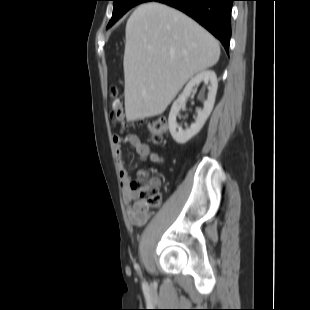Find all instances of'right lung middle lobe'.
<instances>
[{"mask_svg":"<svg viewBox=\"0 0 310 310\" xmlns=\"http://www.w3.org/2000/svg\"><path fill=\"white\" fill-rule=\"evenodd\" d=\"M113 1H114L113 15L107 28L111 27L129 9L148 0H113Z\"/></svg>","mask_w":310,"mask_h":310,"instance_id":"right-lung-middle-lobe-1","label":"right lung middle lobe"}]
</instances>
